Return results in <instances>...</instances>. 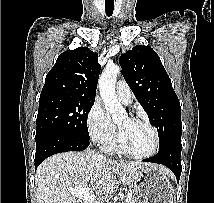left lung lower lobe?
<instances>
[{"label":"left lung lower lobe","mask_w":214,"mask_h":203,"mask_svg":"<svg viewBox=\"0 0 214 203\" xmlns=\"http://www.w3.org/2000/svg\"><path fill=\"white\" fill-rule=\"evenodd\" d=\"M181 147V139L172 140L162 148H159V152L154 157L143 161L165 165L175 174L177 182H179L182 171Z\"/></svg>","instance_id":"obj_1"}]
</instances>
